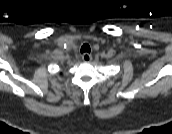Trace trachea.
I'll return each mask as SVG.
<instances>
[{
    "instance_id": "3493384b",
    "label": "trachea",
    "mask_w": 172,
    "mask_h": 134,
    "mask_svg": "<svg viewBox=\"0 0 172 134\" xmlns=\"http://www.w3.org/2000/svg\"><path fill=\"white\" fill-rule=\"evenodd\" d=\"M90 51H91L90 46L87 43L82 45L81 53H84V52L90 53Z\"/></svg>"
}]
</instances>
